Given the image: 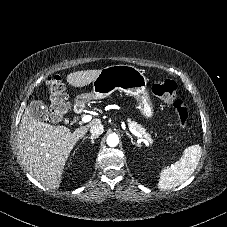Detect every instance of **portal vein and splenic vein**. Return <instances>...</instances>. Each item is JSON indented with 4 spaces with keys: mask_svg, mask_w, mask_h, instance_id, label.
Returning <instances> with one entry per match:
<instances>
[{
    "mask_svg": "<svg viewBox=\"0 0 227 227\" xmlns=\"http://www.w3.org/2000/svg\"><path fill=\"white\" fill-rule=\"evenodd\" d=\"M91 119H92V117H91L90 115H84V116L82 117L81 121H82L83 123H87V122H89ZM129 130H130V132H131L132 134H134L135 136H137V137H139V138H142V139H143V138H146L145 135H143L141 132L135 130V129L132 128V127H129Z\"/></svg>",
    "mask_w": 227,
    "mask_h": 227,
    "instance_id": "18ae733b",
    "label": "portal vein and splenic vein"
}]
</instances>
